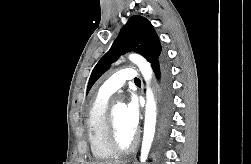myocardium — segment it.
<instances>
[{
  "instance_id": "1",
  "label": "myocardium",
  "mask_w": 251,
  "mask_h": 164,
  "mask_svg": "<svg viewBox=\"0 0 251 164\" xmlns=\"http://www.w3.org/2000/svg\"><path fill=\"white\" fill-rule=\"evenodd\" d=\"M107 140L111 149L115 153L119 154H125L133 151L139 142L138 134L134 133L132 140L128 145H122L120 143L113 108H109L107 112Z\"/></svg>"
}]
</instances>
